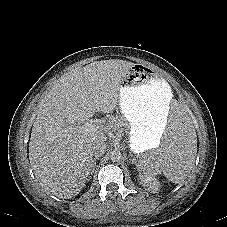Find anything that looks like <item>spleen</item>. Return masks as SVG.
<instances>
[{"mask_svg": "<svg viewBox=\"0 0 227 227\" xmlns=\"http://www.w3.org/2000/svg\"><path fill=\"white\" fill-rule=\"evenodd\" d=\"M197 155V138L188 109L175 103L169 109L168 133L160 150H146L137 159L138 169L155 176L162 172L171 182L182 183L190 174Z\"/></svg>", "mask_w": 227, "mask_h": 227, "instance_id": "1", "label": "spleen"}]
</instances>
